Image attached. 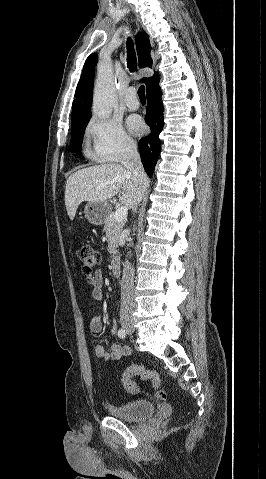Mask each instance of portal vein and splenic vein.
Listing matches in <instances>:
<instances>
[{
	"mask_svg": "<svg viewBox=\"0 0 266 479\" xmlns=\"http://www.w3.org/2000/svg\"><path fill=\"white\" fill-rule=\"evenodd\" d=\"M128 214V208L126 206H122L118 208L115 212L114 218L117 222H122Z\"/></svg>",
	"mask_w": 266,
	"mask_h": 479,
	"instance_id": "18ae733b",
	"label": "portal vein and splenic vein"
}]
</instances>
